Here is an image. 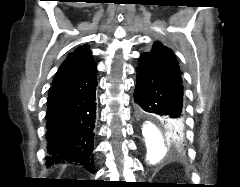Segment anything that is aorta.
Masks as SVG:
<instances>
[{
    "label": "aorta",
    "mask_w": 240,
    "mask_h": 187,
    "mask_svg": "<svg viewBox=\"0 0 240 187\" xmlns=\"http://www.w3.org/2000/svg\"><path fill=\"white\" fill-rule=\"evenodd\" d=\"M142 135L147 148L146 160L149 164H155L166 154V140L159 128L150 121L143 124Z\"/></svg>",
    "instance_id": "762f6f07"
}]
</instances>
